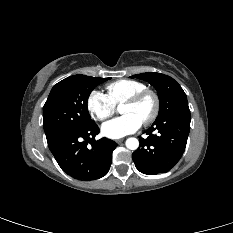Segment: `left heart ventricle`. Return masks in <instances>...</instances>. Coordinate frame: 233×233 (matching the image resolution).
Instances as JSON below:
<instances>
[{
  "instance_id": "b2bd125f",
  "label": "left heart ventricle",
  "mask_w": 233,
  "mask_h": 233,
  "mask_svg": "<svg viewBox=\"0 0 233 233\" xmlns=\"http://www.w3.org/2000/svg\"><path fill=\"white\" fill-rule=\"evenodd\" d=\"M154 109V101L151 97H146L136 105H122L120 113L132 114L138 118L141 122L146 120Z\"/></svg>"
}]
</instances>
